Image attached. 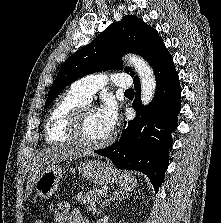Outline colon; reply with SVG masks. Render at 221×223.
I'll return each instance as SVG.
<instances>
[{
    "label": "colon",
    "mask_w": 221,
    "mask_h": 223,
    "mask_svg": "<svg viewBox=\"0 0 221 223\" xmlns=\"http://www.w3.org/2000/svg\"><path fill=\"white\" fill-rule=\"evenodd\" d=\"M34 223H46L43 219H36Z\"/></svg>",
    "instance_id": "5ec220e1"
}]
</instances>
